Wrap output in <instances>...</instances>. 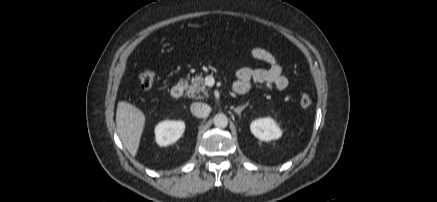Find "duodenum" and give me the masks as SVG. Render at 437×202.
Segmentation results:
<instances>
[{
  "label": "duodenum",
  "instance_id": "1",
  "mask_svg": "<svg viewBox=\"0 0 437 202\" xmlns=\"http://www.w3.org/2000/svg\"><path fill=\"white\" fill-rule=\"evenodd\" d=\"M185 91V86L182 83L175 84L171 89V95L175 99H179L183 96Z\"/></svg>",
  "mask_w": 437,
  "mask_h": 202
}]
</instances>
